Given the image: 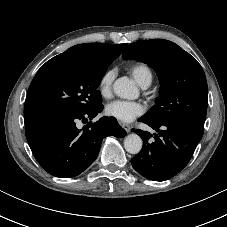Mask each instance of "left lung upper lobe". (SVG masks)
Wrapping results in <instances>:
<instances>
[{"mask_svg":"<svg viewBox=\"0 0 227 227\" xmlns=\"http://www.w3.org/2000/svg\"><path fill=\"white\" fill-rule=\"evenodd\" d=\"M122 58L147 63L159 77L160 95L144 119L185 121L203 128L208 88L204 71L192 55L171 41L152 39L130 44Z\"/></svg>","mask_w":227,"mask_h":227,"instance_id":"5c2ea615","label":"left lung upper lobe"}]
</instances>
